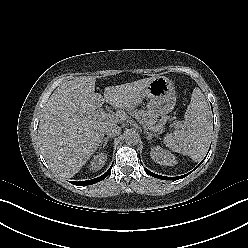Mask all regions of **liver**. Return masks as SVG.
<instances>
[{
    "label": "liver",
    "mask_w": 248,
    "mask_h": 248,
    "mask_svg": "<svg viewBox=\"0 0 248 248\" xmlns=\"http://www.w3.org/2000/svg\"><path fill=\"white\" fill-rule=\"evenodd\" d=\"M154 77L106 87L104 98L95 92L93 76L63 82L50 96L39 122L38 136L50 167L64 178L77 174L97 150L105 126L123 122L122 110L136 103ZM105 101L119 109L116 116L102 117L97 109Z\"/></svg>",
    "instance_id": "1"
}]
</instances>
